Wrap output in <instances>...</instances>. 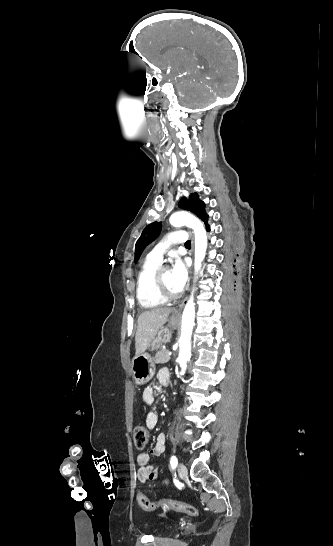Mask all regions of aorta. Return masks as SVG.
Masks as SVG:
<instances>
[{"label":"aorta","mask_w":333,"mask_h":546,"mask_svg":"<svg viewBox=\"0 0 333 546\" xmlns=\"http://www.w3.org/2000/svg\"><path fill=\"white\" fill-rule=\"evenodd\" d=\"M170 224L173 227L186 225L191 227L195 233V270L201 268V263L206 255L207 233L203 223L195 216L187 212H177L171 215ZM195 319V304L193 296L188 300L182 315V330L179 339L180 349L178 362L181 373L184 374L187 369V362L191 358V335Z\"/></svg>","instance_id":"762f6f07"}]
</instances>
